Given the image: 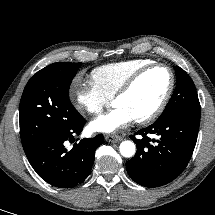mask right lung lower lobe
<instances>
[{"label": "right lung lower lobe", "instance_id": "1", "mask_svg": "<svg viewBox=\"0 0 215 215\" xmlns=\"http://www.w3.org/2000/svg\"><path fill=\"white\" fill-rule=\"evenodd\" d=\"M84 124V118L80 117L69 128L25 150L33 169L47 183L59 188H70L83 182L89 175L95 150L104 142V137L97 135L84 138L74 144L71 150L65 147L67 140L80 134Z\"/></svg>", "mask_w": 215, "mask_h": 215}]
</instances>
